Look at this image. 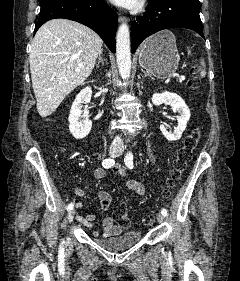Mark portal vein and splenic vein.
Masks as SVG:
<instances>
[{
	"label": "portal vein and splenic vein",
	"mask_w": 240,
	"mask_h": 281,
	"mask_svg": "<svg viewBox=\"0 0 240 281\" xmlns=\"http://www.w3.org/2000/svg\"><path fill=\"white\" fill-rule=\"evenodd\" d=\"M180 79H181V80H184V79H185V77L181 75V76H180Z\"/></svg>",
	"instance_id": "18ae733b"
}]
</instances>
